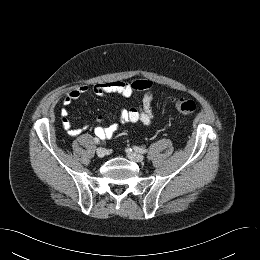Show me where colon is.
Masks as SVG:
<instances>
[{
	"instance_id": "obj_1",
	"label": "colon",
	"mask_w": 260,
	"mask_h": 260,
	"mask_svg": "<svg viewBox=\"0 0 260 260\" xmlns=\"http://www.w3.org/2000/svg\"><path fill=\"white\" fill-rule=\"evenodd\" d=\"M175 109L184 115L192 114L196 109V104L193 100L176 99L173 101Z\"/></svg>"
}]
</instances>
